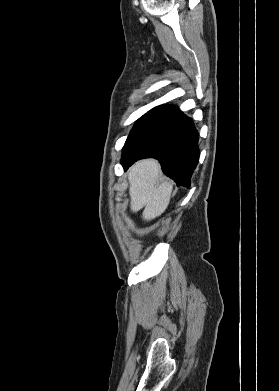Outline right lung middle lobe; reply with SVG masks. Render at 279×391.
I'll return each instance as SVG.
<instances>
[{"label":"right lung middle lobe","instance_id":"dd1d6c3e","mask_svg":"<svg viewBox=\"0 0 279 391\" xmlns=\"http://www.w3.org/2000/svg\"><path fill=\"white\" fill-rule=\"evenodd\" d=\"M162 112V110H150L148 113L143 115L135 124L132 131L130 132L125 145L132 142L136 139L142 132H144L152 122L158 117V115Z\"/></svg>","mask_w":279,"mask_h":391}]
</instances>
